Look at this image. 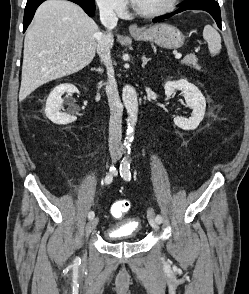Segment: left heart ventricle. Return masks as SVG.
Listing matches in <instances>:
<instances>
[{"instance_id":"left-heart-ventricle-1","label":"left heart ventricle","mask_w":249,"mask_h":294,"mask_svg":"<svg viewBox=\"0 0 249 294\" xmlns=\"http://www.w3.org/2000/svg\"><path fill=\"white\" fill-rule=\"evenodd\" d=\"M138 7L146 11H154L167 7L172 0H134Z\"/></svg>"}]
</instances>
